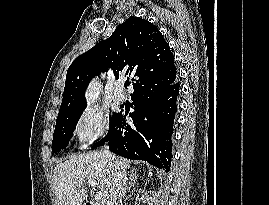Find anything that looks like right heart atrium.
<instances>
[{"mask_svg": "<svg viewBox=\"0 0 269 205\" xmlns=\"http://www.w3.org/2000/svg\"><path fill=\"white\" fill-rule=\"evenodd\" d=\"M109 129V116L97 107L84 109L76 118L73 133L82 145H90L104 137Z\"/></svg>", "mask_w": 269, "mask_h": 205, "instance_id": "1", "label": "right heart atrium"}]
</instances>
